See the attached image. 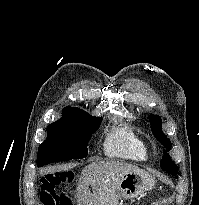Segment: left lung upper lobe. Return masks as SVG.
<instances>
[{"label":"left lung upper lobe","instance_id":"5c2ea615","mask_svg":"<svg viewBox=\"0 0 199 205\" xmlns=\"http://www.w3.org/2000/svg\"><path fill=\"white\" fill-rule=\"evenodd\" d=\"M149 122L151 124V130L156 137V139L166 147L164 151V155L160 161V166L166 172L176 176L178 173L177 165L170 159V155L167 153L171 149V142L170 139L162 132V120L160 116L150 114L149 115Z\"/></svg>","mask_w":199,"mask_h":205}]
</instances>
